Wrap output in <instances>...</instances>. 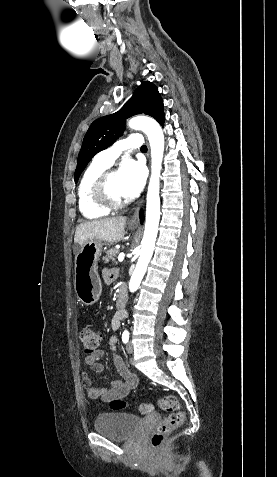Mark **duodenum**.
I'll use <instances>...</instances> for the list:
<instances>
[{
    "label": "duodenum",
    "instance_id": "1",
    "mask_svg": "<svg viewBox=\"0 0 277 477\" xmlns=\"http://www.w3.org/2000/svg\"><path fill=\"white\" fill-rule=\"evenodd\" d=\"M126 296L123 292H120L118 294L117 300H116V307L119 311H123L125 306H126Z\"/></svg>",
    "mask_w": 277,
    "mask_h": 477
}]
</instances>
